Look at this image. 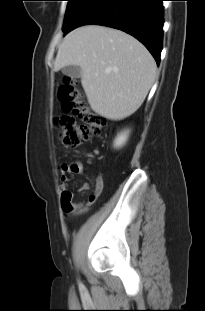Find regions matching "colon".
<instances>
[{
  "mask_svg": "<svg viewBox=\"0 0 205 311\" xmlns=\"http://www.w3.org/2000/svg\"><path fill=\"white\" fill-rule=\"evenodd\" d=\"M57 99L65 112L57 119L62 147L74 150L101 132L103 118L90 109L74 80L67 78L58 86Z\"/></svg>",
  "mask_w": 205,
  "mask_h": 311,
  "instance_id": "5ec220e1",
  "label": "colon"
}]
</instances>
